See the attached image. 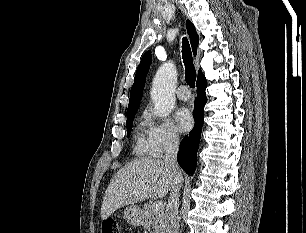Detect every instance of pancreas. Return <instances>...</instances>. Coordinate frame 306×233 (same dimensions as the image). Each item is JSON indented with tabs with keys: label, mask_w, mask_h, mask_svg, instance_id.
I'll return each mask as SVG.
<instances>
[{
	"label": "pancreas",
	"mask_w": 306,
	"mask_h": 233,
	"mask_svg": "<svg viewBox=\"0 0 306 233\" xmlns=\"http://www.w3.org/2000/svg\"><path fill=\"white\" fill-rule=\"evenodd\" d=\"M145 216L143 226L149 233H166L164 212L163 209L155 212L153 210V204L147 203L144 205Z\"/></svg>",
	"instance_id": "obj_1"
}]
</instances>
